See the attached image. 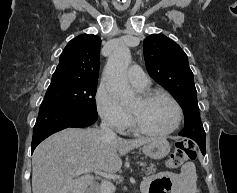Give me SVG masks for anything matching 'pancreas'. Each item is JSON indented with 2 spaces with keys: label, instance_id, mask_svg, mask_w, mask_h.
<instances>
[{
  "label": "pancreas",
  "instance_id": "1",
  "mask_svg": "<svg viewBox=\"0 0 237 193\" xmlns=\"http://www.w3.org/2000/svg\"><path fill=\"white\" fill-rule=\"evenodd\" d=\"M144 167H145V174L148 176L154 172H156V168H155V165L153 163H144Z\"/></svg>",
  "mask_w": 237,
  "mask_h": 193
}]
</instances>
